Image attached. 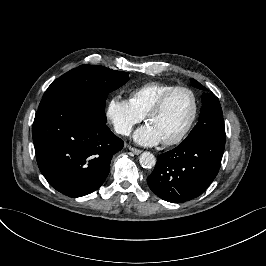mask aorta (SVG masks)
<instances>
[{
  "label": "aorta",
  "instance_id": "1",
  "mask_svg": "<svg viewBox=\"0 0 266 266\" xmlns=\"http://www.w3.org/2000/svg\"><path fill=\"white\" fill-rule=\"evenodd\" d=\"M139 162L144 169H152L156 165V158L150 152H144L139 157Z\"/></svg>",
  "mask_w": 266,
  "mask_h": 266
}]
</instances>
